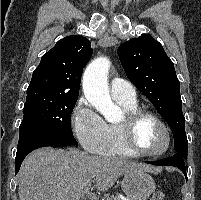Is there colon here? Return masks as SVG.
Masks as SVG:
<instances>
[{
    "mask_svg": "<svg viewBox=\"0 0 201 200\" xmlns=\"http://www.w3.org/2000/svg\"><path fill=\"white\" fill-rule=\"evenodd\" d=\"M151 200H166V195L163 191H155Z\"/></svg>",
    "mask_w": 201,
    "mask_h": 200,
    "instance_id": "5ec220e1",
    "label": "colon"
}]
</instances>
